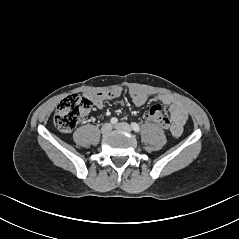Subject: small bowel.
Listing matches in <instances>:
<instances>
[{
  "instance_id": "obj_1",
  "label": "small bowel",
  "mask_w": 239,
  "mask_h": 239,
  "mask_svg": "<svg viewBox=\"0 0 239 239\" xmlns=\"http://www.w3.org/2000/svg\"><path fill=\"white\" fill-rule=\"evenodd\" d=\"M119 96L120 91L118 90L87 94V97L93 101L94 106L99 110L103 109L107 100H112L118 98ZM131 99L135 105L141 106L146 103L148 94L142 90L134 89L131 91ZM156 99L162 104L168 106L170 111V120L165 117L168 120V124H162L159 126L169 130L174 137H179L182 134L183 126L185 125L188 118V114L184 105L167 94H159L156 96Z\"/></svg>"
}]
</instances>
